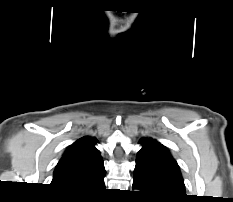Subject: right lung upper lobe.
<instances>
[{
  "label": "right lung upper lobe",
  "instance_id": "1",
  "mask_svg": "<svg viewBox=\"0 0 233 202\" xmlns=\"http://www.w3.org/2000/svg\"><path fill=\"white\" fill-rule=\"evenodd\" d=\"M96 140L85 136L69 146L54 171L51 187L72 196H89L105 188V168Z\"/></svg>",
  "mask_w": 233,
  "mask_h": 202
}]
</instances>
